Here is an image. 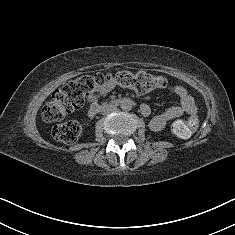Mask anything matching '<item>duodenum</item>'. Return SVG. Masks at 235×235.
<instances>
[{
	"label": "duodenum",
	"mask_w": 235,
	"mask_h": 235,
	"mask_svg": "<svg viewBox=\"0 0 235 235\" xmlns=\"http://www.w3.org/2000/svg\"><path fill=\"white\" fill-rule=\"evenodd\" d=\"M123 100L119 99V100H115L113 101L111 104H119V103H122ZM107 106V105H106ZM106 106H99L97 103H95L93 106H92V113H97L99 112L103 107H106Z\"/></svg>",
	"instance_id": "duodenum-1"
}]
</instances>
